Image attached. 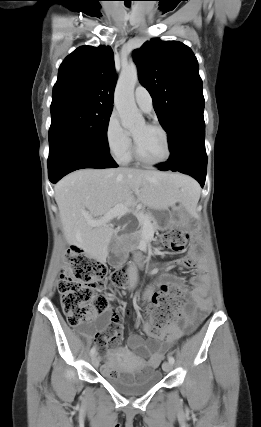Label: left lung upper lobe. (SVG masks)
Masks as SVG:
<instances>
[{
    "label": "left lung upper lobe",
    "instance_id": "obj_1",
    "mask_svg": "<svg viewBox=\"0 0 261 427\" xmlns=\"http://www.w3.org/2000/svg\"><path fill=\"white\" fill-rule=\"evenodd\" d=\"M139 80L149 91L160 124L170 135L188 118H203L198 61L181 42L152 39L133 52Z\"/></svg>",
    "mask_w": 261,
    "mask_h": 427
}]
</instances>
